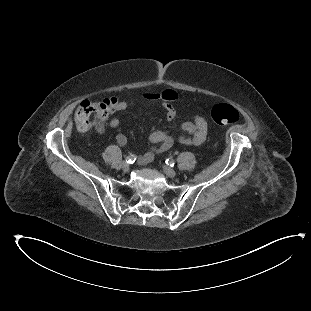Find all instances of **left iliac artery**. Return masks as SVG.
Instances as JSON below:
<instances>
[{
	"mask_svg": "<svg viewBox=\"0 0 311 311\" xmlns=\"http://www.w3.org/2000/svg\"><path fill=\"white\" fill-rule=\"evenodd\" d=\"M165 163L169 166H174L175 165V160L173 158H167L165 160Z\"/></svg>",
	"mask_w": 311,
	"mask_h": 311,
	"instance_id": "44dca946",
	"label": "left iliac artery"
}]
</instances>
